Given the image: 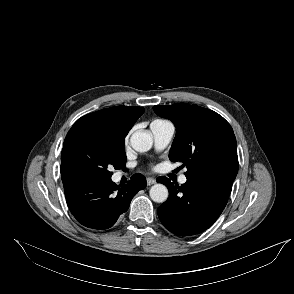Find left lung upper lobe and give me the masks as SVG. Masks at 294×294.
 Segmentation results:
<instances>
[{
  "label": "left lung upper lobe",
  "instance_id": "1",
  "mask_svg": "<svg viewBox=\"0 0 294 294\" xmlns=\"http://www.w3.org/2000/svg\"><path fill=\"white\" fill-rule=\"evenodd\" d=\"M154 111L176 127L169 159L181 161L187 167L186 177L201 176L227 166L238 171L236 138L222 116L187 103L156 105Z\"/></svg>",
  "mask_w": 294,
  "mask_h": 294
}]
</instances>
